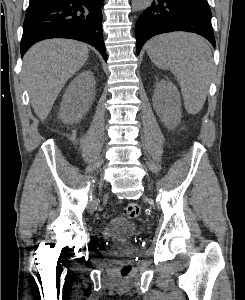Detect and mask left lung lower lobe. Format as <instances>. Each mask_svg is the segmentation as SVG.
Wrapping results in <instances>:
<instances>
[{
  "label": "left lung lower lobe",
  "mask_w": 245,
  "mask_h": 300,
  "mask_svg": "<svg viewBox=\"0 0 245 300\" xmlns=\"http://www.w3.org/2000/svg\"><path fill=\"white\" fill-rule=\"evenodd\" d=\"M135 31L137 54L151 37L172 31L197 33L216 46L207 0H154L138 18Z\"/></svg>",
  "instance_id": "obj_1"
}]
</instances>
